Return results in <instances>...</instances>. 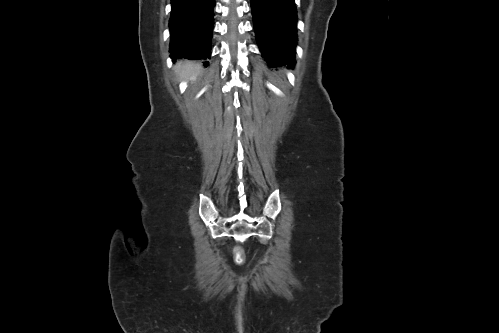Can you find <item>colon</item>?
<instances>
[{"instance_id": "colon-1", "label": "colon", "mask_w": 499, "mask_h": 333, "mask_svg": "<svg viewBox=\"0 0 499 333\" xmlns=\"http://www.w3.org/2000/svg\"><path fill=\"white\" fill-rule=\"evenodd\" d=\"M235 256H236V261L238 263H243L244 262V255L241 249H236L235 250Z\"/></svg>"}]
</instances>
